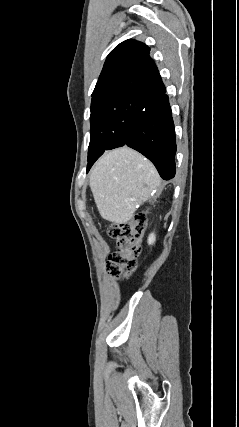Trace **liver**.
<instances>
[{"label":"liver","mask_w":239,"mask_h":427,"mask_svg":"<svg viewBox=\"0 0 239 427\" xmlns=\"http://www.w3.org/2000/svg\"><path fill=\"white\" fill-rule=\"evenodd\" d=\"M90 188L101 217L116 224L131 220L137 206L162 190L152 163L128 147L107 152L96 162Z\"/></svg>","instance_id":"obj_1"}]
</instances>
